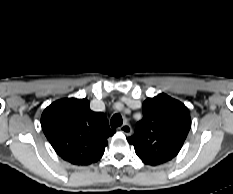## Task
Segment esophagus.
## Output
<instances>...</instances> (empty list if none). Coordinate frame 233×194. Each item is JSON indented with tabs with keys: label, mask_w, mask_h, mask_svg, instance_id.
Segmentation results:
<instances>
[{
	"label": "esophagus",
	"mask_w": 233,
	"mask_h": 194,
	"mask_svg": "<svg viewBox=\"0 0 233 194\" xmlns=\"http://www.w3.org/2000/svg\"><path fill=\"white\" fill-rule=\"evenodd\" d=\"M119 130L127 136H130L132 134V128L128 123H125L122 126H120Z\"/></svg>",
	"instance_id": "34e87169"
}]
</instances>
